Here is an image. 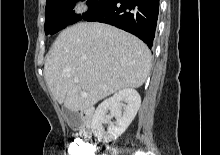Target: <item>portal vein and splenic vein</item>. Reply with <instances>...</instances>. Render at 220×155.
Masks as SVG:
<instances>
[{
  "label": "portal vein and splenic vein",
  "instance_id": "18ae733b",
  "mask_svg": "<svg viewBox=\"0 0 220 155\" xmlns=\"http://www.w3.org/2000/svg\"><path fill=\"white\" fill-rule=\"evenodd\" d=\"M74 82H75L76 84H78V83H79V79H78V78H75V79H74ZM82 95H83V96H88V94H87V93H84V92L82 93Z\"/></svg>",
  "mask_w": 220,
  "mask_h": 155
}]
</instances>
